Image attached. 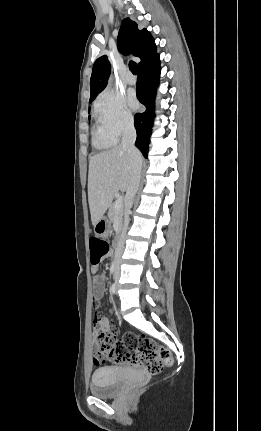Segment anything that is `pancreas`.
Masks as SVG:
<instances>
[{"label":"pancreas","instance_id":"cf45deb5","mask_svg":"<svg viewBox=\"0 0 261 431\" xmlns=\"http://www.w3.org/2000/svg\"><path fill=\"white\" fill-rule=\"evenodd\" d=\"M114 204L115 203L110 205V208L108 211V217L111 223H114L115 221H117L118 225L120 226L122 224L123 208L116 210Z\"/></svg>","mask_w":261,"mask_h":431}]
</instances>
